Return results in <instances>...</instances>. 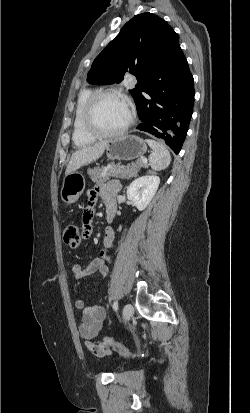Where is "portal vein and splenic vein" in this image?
Here are the masks:
<instances>
[{"label": "portal vein and splenic vein", "mask_w": 250, "mask_h": 413, "mask_svg": "<svg viewBox=\"0 0 250 413\" xmlns=\"http://www.w3.org/2000/svg\"><path fill=\"white\" fill-rule=\"evenodd\" d=\"M143 161H144L145 163L147 162V160H146V159H144Z\"/></svg>", "instance_id": "portal-vein-and-splenic-vein-1"}]
</instances>
